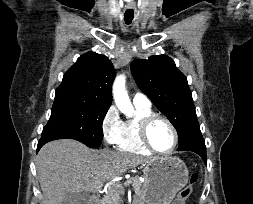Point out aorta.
Returning <instances> with one entry per match:
<instances>
[{
  "label": "aorta",
  "instance_id": "762f6f07",
  "mask_svg": "<svg viewBox=\"0 0 253 204\" xmlns=\"http://www.w3.org/2000/svg\"><path fill=\"white\" fill-rule=\"evenodd\" d=\"M113 97L118 109L127 117H132L134 114V108L125 89L124 75L116 77L113 84Z\"/></svg>",
  "mask_w": 253,
  "mask_h": 204
}]
</instances>
